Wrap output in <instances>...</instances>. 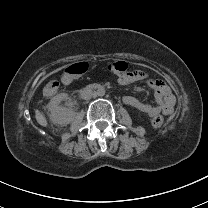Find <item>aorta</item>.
<instances>
[{
  "label": "aorta",
  "instance_id": "1",
  "mask_svg": "<svg viewBox=\"0 0 208 208\" xmlns=\"http://www.w3.org/2000/svg\"><path fill=\"white\" fill-rule=\"evenodd\" d=\"M96 94L98 96H104L105 95V89L104 88H100L96 91Z\"/></svg>",
  "mask_w": 208,
  "mask_h": 208
}]
</instances>
